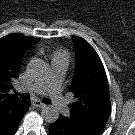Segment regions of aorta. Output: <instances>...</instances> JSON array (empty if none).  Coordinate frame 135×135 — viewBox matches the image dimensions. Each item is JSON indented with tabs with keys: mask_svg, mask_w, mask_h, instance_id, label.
<instances>
[{
	"mask_svg": "<svg viewBox=\"0 0 135 135\" xmlns=\"http://www.w3.org/2000/svg\"><path fill=\"white\" fill-rule=\"evenodd\" d=\"M48 65L42 59H32L27 65L28 73L35 79H40L48 74ZM41 116L47 123H54L59 118V110L49 105L42 109Z\"/></svg>",
	"mask_w": 135,
	"mask_h": 135,
	"instance_id": "obj_1",
	"label": "aorta"
}]
</instances>
